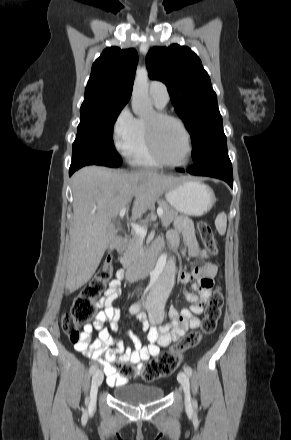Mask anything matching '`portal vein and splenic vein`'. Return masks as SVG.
I'll list each match as a JSON object with an SVG mask.
<instances>
[{
	"label": "portal vein and splenic vein",
	"mask_w": 291,
	"mask_h": 440,
	"mask_svg": "<svg viewBox=\"0 0 291 440\" xmlns=\"http://www.w3.org/2000/svg\"><path fill=\"white\" fill-rule=\"evenodd\" d=\"M125 213H126V208L124 207L119 212L120 218H123ZM162 215H163V210H162V208H159L158 209V216H159V218H162ZM130 226L132 227L133 231L137 235H139L140 237H145L146 236L147 228L145 226H140V225L135 224V223H131Z\"/></svg>",
	"instance_id": "18ae733b"
}]
</instances>
